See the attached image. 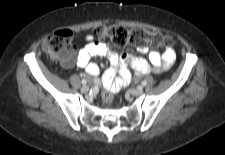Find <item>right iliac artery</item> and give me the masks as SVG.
<instances>
[{
  "mask_svg": "<svg viewBox=\"0 0 225 155\" xmlns=\"http://www.w3.org/2000/svg\"><path fill=\"white\" fill-rule=\"evenodd\" d=\"M81 83H82L83 85H85V84L87 83V81H86L85 79H83V80L81 81Z\"/></svg>",
  "mask_w": 225,
  "mask_h": 155,
  "instance_id": "right-iliac-artery-1",
  "label": "right iliac artery"
}]
</instances>
